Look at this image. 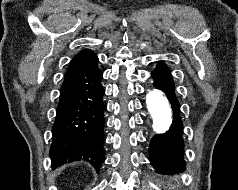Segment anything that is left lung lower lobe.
I'll use <instances>...</instances> for the list:
<instances>
[{
    "label": "left lung lower lobe",
    "mask_w": 238,
    "mask_h": 190,
    "mask_svg": "<svg viewBox=\"0 0 238 190\" xmlns=\"http://www.w3.org/2000/svg\"><path fill=\"white\" fill-rule=\"evenodd\" d=\"M154 86L162 90L171 103L173 122L170 129L155 135L150 142V161L157 172L167 174L185 169L183 159V123L180 117V104L175 95V85L171 72L165 63H159L152 72Z\"/></svg>",
    "instance_id": "obj_1"
}]
</instances>
